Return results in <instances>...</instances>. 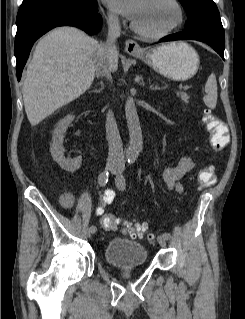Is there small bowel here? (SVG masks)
I'll return each mask as SVG.
<instances>
[{
  "mask_svg": "<svg viewBox=\"0 0 245 319\" xmlns=\"http://www.w3.org/2000/svg\"><path fill=\"white\" fill-rule=\"evenodd\" d=\"M194 167L193 161L188 157H183L175 166H169L165 168L163 176L167 187L177 193L183 191L180 179ZM112 191V190H110ZM115 196V193L113 194ZM114 199V198H113ZM113 201V200H112ZM110 204L103 198V202L96 208V214L101 215L104 212L106 205Z\"/></svg>",
  "mask_w": 245,
  "mask_h": 319,
  "instance_id": "obj_1",
  "label": "small bowel"
}]
</instances>
